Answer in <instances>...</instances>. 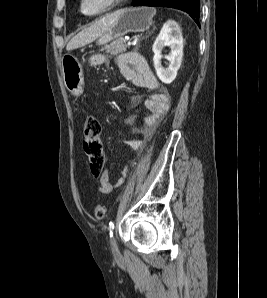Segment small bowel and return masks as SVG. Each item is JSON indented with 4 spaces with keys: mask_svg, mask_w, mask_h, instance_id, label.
<instances>
[{
    "mask_svg": "<svg viewBox=\"0 0 267 298\" xmlns=\"http://www.w3.org/2000/svg\"><path fill=\"white\" fill-rule=\"evenodd\" d=\"M116 62L121 74L133 84L157 91L151 95L145 103L149 115L143 119V134L150 136L167 113L169 109V98L166 93L159 91L160 83L152 73L147 60L142 55L136 52H127L119 55ZM106 63L107 58L101 54L93 55L89 60V64L92 67L102 66ZM99 182V192L101 194H109L114 188L122 184L123 178H120L116 184L113 185L110 183L109 173L103 171L99 175Z\"/></svg>",
    "mask_w": 267,
    "mask_h": 298,
    "instance_id": "1",
    "label": "small bowel"
}]
</instances>
